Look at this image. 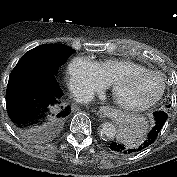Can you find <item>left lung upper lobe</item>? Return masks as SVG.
<instances>
[{
    "mask_svg": "<svg viewBox=\"0 0 177 177\" xmlns=\"http://www.w3.org/2000/svg\"><path fill=\"white\" fill-rule=\"evenodd\" d=\"M168 108H170V105H167L164 111L168 112Z\"/></svg>",
    "mask_w": 177,
    "mask_h": 177,
    "instance_id": "5c2ea615",
    "label": "left lung upper lobe"
}]
</instances>
